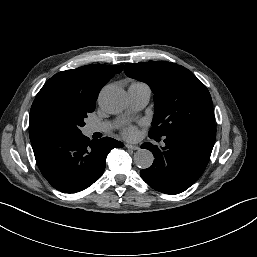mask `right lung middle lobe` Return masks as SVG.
I'll return each mask as SVG.
<instances>
[{"mask_svg": "<svg viewBox=\"0 0 257 257\" xmlns=\"http://www.w3.org/2000/svg\"><path fill=\"white\" fill-rule=\"evenodd\" d=\"M95 104L60 88H49L36 96L30 112L29 128L42 136L81 134L84 118Z\"/></svg>", "mask_w": 257, "mask_h": 257, "instance_id": "right-lung-middle-lobe-1", "label": "right lung middle lobe"}]
</instances>
